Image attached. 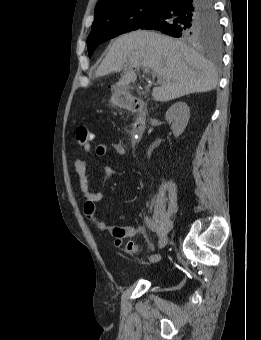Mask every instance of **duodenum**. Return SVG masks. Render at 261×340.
Returning a JSON list of instances; mask_svg holds the SVG:
<instances>
[{"mask_svg": "<svg viewBox=\"0 0 261 340\" xmlns=\"http://www.w3.org/2000/svg\"><path fill=\"white\" fill-rule=\"evenodd\" d=\"M129 110L137 114L130 130V141L132 144H136L145 130L146 118L144 106L140 100L134 99L129 103Z\"/></svg>", "mask_w": 261, "mask_h": 340, "instance_id": "410a0bca", "label": "duodenum"}]
</instances>
